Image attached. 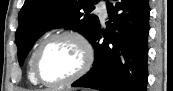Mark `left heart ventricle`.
<instances>
[{
  "instance_id": "obj_1",
  "label": "left heart ventricle",
  "mask_w": 173,
  "mask_h": 91,
  "mask_svg": "<svg viewBox=\"0 0 173 91\" xmlns=\"http://www.w3.org/2000/svg\"><path fill=\"white\" fill-rule=\"evenodd\" d=\"M82 52L71 39H57L43 51L39 61V72L47 82H59L74 74L81 66Z\"/></svg>"
}]
</instances>
